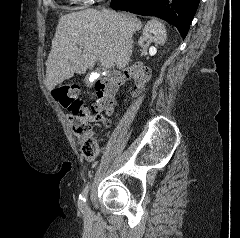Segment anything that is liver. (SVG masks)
Wrapping results in <instances>:
<instances>
[{"label": "liver", "instance_id": "liver-1", "mask_svg": "<svg viewBox=\"0 0 240 238\" xmlns=\"http://www.w3.org/2000/svg\"><path fill=\"white\" fill-rule=\"evenodd\" d=\"M141 26L134 15L114 11L86 9L62 16L46 61L47 89L92 69L98 60L94 50L118 69L125 68L132 55V36Z\"/></svg>", "mask_w": 240, "mask_h": 238}]
</instances>
